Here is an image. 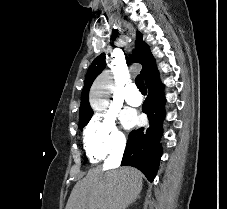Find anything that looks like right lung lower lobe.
<instances>
[{
    "label": "right lung lower lobe",
    "instance_id": "98d812e1",
    "mask_svg": "<svg viewBox=\"0 0 227 209\" xmlns=\"http://www.w3.org/2000/svg\"><path fill=\"white\" fill-rule=\"evenodd\" d=\"M145 82L149 90V98L144 102L142 111L148 115L149 127L146 129L142 127L130 132L121 165L136 167L152 182L162 155L160 137L165 118L163 109L165 98L162 94L163 86L159 82L157 69Z\"/></svg>",
    "mask_w": 227,
    "mask_h": 209
}]
</instances>
